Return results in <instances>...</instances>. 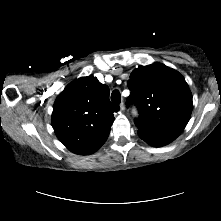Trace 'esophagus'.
Here are the masks:
<instances>
[{"label": "esophagus", "instance_id": "1", "mask_svg": "<svg viewBox=\"0 0 221 221\" xmlns=\"http://www.w3.org/2000/svg\"><path fill=\"white\" fill-rule=\"evenodd\" d=\"M120 109H121V111H124V110H125V106H124V103H123V102L120 104Z\"/></svg>", "mask_w": 221, "mask_h": 221}]
</instances>
